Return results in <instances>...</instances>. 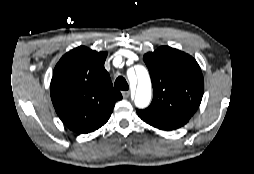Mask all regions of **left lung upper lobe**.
<instances>
[{"label":"left lung upper lobe","mask_w":254,"mask_h":174,"mask_svg":"<svg viewBox=\"0 0 254 174\" xmlns=\"http://www.w3.org/2000/svg\"><path fill=\"white\" fill-rule=\"evenodd\" d=\"M154 91L151 105L145 110L190 119L198 109L204 81L200 66L190 55L162 46L143 56Z\"/></svg>","instance_id":"1"}]
</instances>
